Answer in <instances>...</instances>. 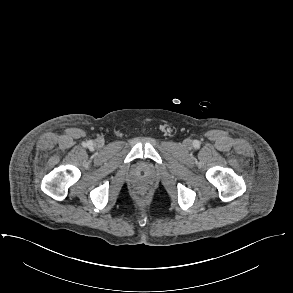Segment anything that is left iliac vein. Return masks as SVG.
Returning <instances> with one entry per match:
<instances>
[{
  "label": "left iliac vein",
  "mask_w": 293,
  "mask_h": 293,
  "mask_svg": "<svg viewBox=\"0 0 293 293\" xmlns=\"http://www.w3.org/2000/svg\"><path fill=\"white\" fill-rule=\"evenodd\" d=\"M184 145H185L186 147L191 146V141H190V140H185Z\"/></svg>",
  "instance_id": "left-iliac-vein-1"
}]
</instances>
